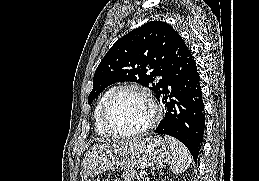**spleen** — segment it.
I'll return each instance as SVG.
<instances>
[{"instance_id":"3e777b00","label":"spleen","mask_w":259,"mask_h":181,"mask_svg":"<svg viewBox=\"0 0 259 181\" xmlns=\"http://www.w3.org/2000/svg\"><path fill=\"white\" fill-rule=\"evenodd\" d=\"M165 140L171 149L170 170L175 174L185 172L192 162L188 149L177 139L165 135Z\"/></svg>"}]
</instances>
